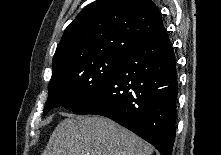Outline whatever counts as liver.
I'll use <instances>...</instances> for the list:
<instances>
[{
  "instance_id": "6515ba94",
  "label": "liver",
  "mask_w": 221,
  "mask_h": 155,
  "mask_svg": "<svg viewBox=\"0 0 221 155\" xmlns=\"http://www.w3.org/2000/svg\"><path fill=\"white\" fill-rule=\"evenodd\" d=\"M153 149L134 133L101 116L62 120L42 155H152Z\"/></svg>"
}]
</instances>
